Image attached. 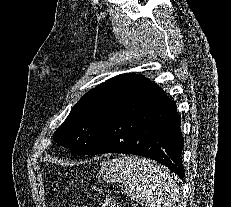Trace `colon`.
<instances>
[{"label": "colon", "mask_w": 231, "mask_h": 207, "mask_svg": "<svg viewBox=\"0 0 231 207\" xmlns=\"http://www.w3.org/2000/svg\"><path fill=\"white\" fill-rule=\"evenodd\" d=\"M59 183H55V187H58ZM93 192L102 197V200L99 204V207H119L117 202L112 198L110 195L104 193L100 188L98 187H93Z\"/></svg>", "instance_id": "1"}]
</instances>
